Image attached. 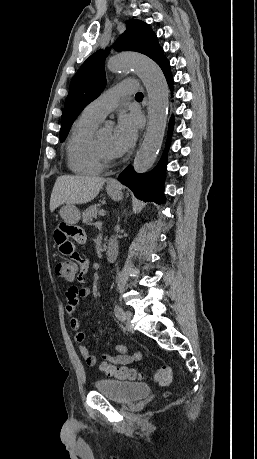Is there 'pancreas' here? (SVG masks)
I'll return each instance as SVG.
<instances>
[{
  "instance_id": "pancreas-1",
  "label": "pancreas",
  "mask_w": 257,
  "mask_h": 459,
  "mask_svg": "<svg viewBox=\"0 0 257 459\" xmlns=\"http://www.w3.org/2000/svg\"><path fill=\"white\" fill-rule=\"evenodd\" d=\"M101 204H95L89 206L82 214V221L85 224H90L93 218H95L100 212Z\"/></svg>"
}]
</instances>
